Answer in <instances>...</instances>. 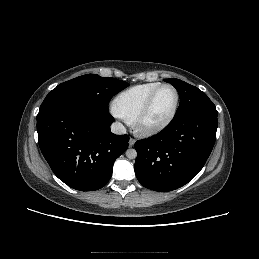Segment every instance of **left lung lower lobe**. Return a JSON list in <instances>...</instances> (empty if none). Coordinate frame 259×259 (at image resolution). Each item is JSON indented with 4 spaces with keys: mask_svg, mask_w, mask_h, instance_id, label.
<instances>
[{
    "mask_svg": "<svg viewBox=\"0 0 259 259\" xmlns=\"http://www.w3.org/2000/svg\"><path fill=\"white\" fill-rule=\"evenodd\" d=\"M218 112L196 110L174 119L156 136L135 144V174L146 188L182 187L203 168L216 139Z\"/></svg>",
    "mask_w": 259,
    "mask_h": 259,
    "instance_id": "1",
    "label": "left lung lower lobe"
}]
</instances>
